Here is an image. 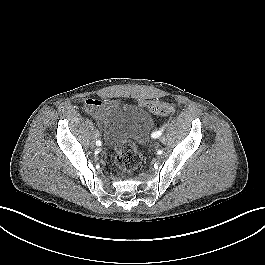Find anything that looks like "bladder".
<instances>
[{
	"label": "bladder",
	"instance_id": "31cf9c89",
	"mask_svg": "<svg viewBox=\"0 0 265 265\" xmlns=\"http://www.w3.org/2000/svg\"><path fill=\"white\" fill-rule=\"evenodd\" d=\"M152 125V117L142 108L112 103L106 121L107 136L115 146L122 142L142 144L146 142Z\"/></svg>",
	"mask_w": 265,
	"mask_h": 265
}]
</instances>
